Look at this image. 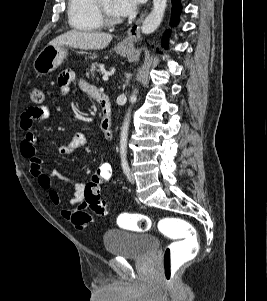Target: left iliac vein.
<instances>
[{"label":"left iliac vein","instance_id":"left-iliac-vein-1","mask_svg":"<svg viewBox=\"0 0 267 301\" xmlns=\"http://www.w3.org/2000/svg\"><path fill=\"white\" fill-rule=\"evenodd\" d=\"M128 180L131 184H134L135 183V177H134V174L131 172L128 176Z\"/></svg>","mask_w":267,"mask_h":301}]
</instances>
